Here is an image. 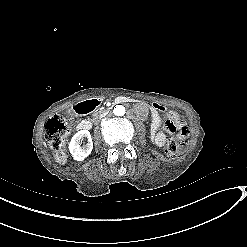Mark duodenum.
I'll list each match as a JSON object with an SVG mask.
<instances>
[{
  "label": "duodenum",
  "instance_id": "410a0bca",
  "mask_svg": "<svg viewBox=\"0 0 247 247\" xmlns=\"http://www.w3.org/2000/svg\"><path fill=\"white\" fill-rule=\"evenodd\" d=\"M131 99L127 98V97H119L116 99L115 103H126V102H130ZM100 105V102L98 99H88V100H84L81 102H78L77 104H75L71 111L73 114H86L89 113L93 110H95L98 106ZM92 127V123L90 120H83L79 123L78 125V129L79 130H89Z\"/></svg>",
  "mask_w": 247,
  "mask_h": 247
}]
</instances>
